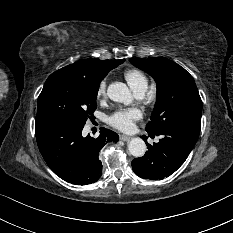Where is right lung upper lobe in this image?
<instances>
[{"label":"right lung upper lobe","mask_w":233,"mask_h":233,"mask_svg":"<svg viewBox=\"0 0 233 233\" xmlns=\"http://www.w3.org/2000/svg\"><path fill=\"white\" fill-rule=\"evenodd\" d=\"M125 60H82L74 64H70L62 70L70 71L86 78L96 79L105 75L111 69L117 67Z\"/></svg>","instance_id":"obj_1"}]
</instances>
